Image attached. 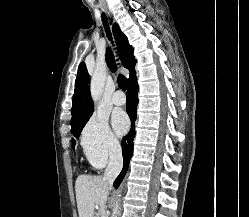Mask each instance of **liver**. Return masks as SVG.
<instances>
[{"label": "liver", "mask_w": 249, "mask_h": 217, "mask_svg": "<svg viewBox=\"0 0 249 217\" xmlns=\"http://www.w3.org/2000/svg\"><path fill=\"white\" fill-rule=\"evenodd\" d=\"M109 185L101 176L80 175L76 179L75 192L79 217H94V210L105 217Z\"/></svg>", "instance_id": "obj_1"}]
</instances>
